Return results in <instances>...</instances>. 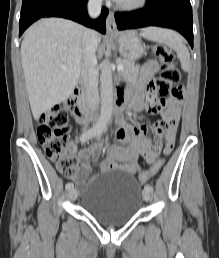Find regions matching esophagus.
Returning <instances> with one entry per match:
<instances>
[{
  "mask_svg": "<svg viewBox=\"0 0 219 258\" xmlns=\"http://www.w3.org/2000/svg\"><path fill=\"white\" fill-rule=\"evenodd\" d=\"M106 27L108 33H115L117 32V25L114 18V12L110 11L107 20H106Z\"/></svg>",
  "mask_w": 219,
  "mask_h": 258,
  "instance_id": "1",
  "label": "esophagus"
}]
</instances>
